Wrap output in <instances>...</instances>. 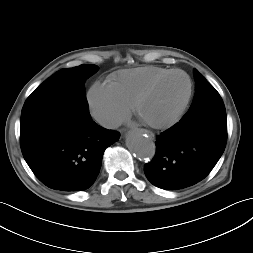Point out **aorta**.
Returning <instances> with one entry per match:
<instances>
[{
  "label": "aorta",
  "mask_w": 253,
  "mask_h": 253,
  "mask_svg": "<svg viewBox=\"0 0 253 253\" xmlns=\"http://www.w3.org/2000/svg\"><path fill=\"white\" fill-rule=\"evenodd\" d=\"M126 144L129 150L141 160L152 159L156 146L153 140L144 133L132 131L128 134Z\"/></svg>",
  "instance_id": "aorta-1"
}]
</instances>
